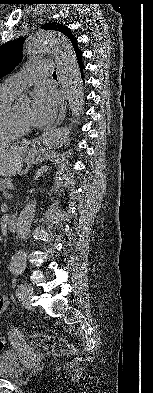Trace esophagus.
I'll list each match as a JSON object with an SVG mask.
<instances>
[{
    "label": "esophagus",
    "mask_w": 153,
    "mask_h": 393,
    "mask_svg": "<svg viewBox=\"0 0 153 393\" xmlns=\"http://www.w3.org/2000/svg\"><path fill=\"white\" fill-rule=\"evenodd\" d=\"M66 105H67V102L65 99H63L62 103L60 105L59 116H58L57 121L55 122L54 126H57L58 124L62 123V121L64 120L65 115H66ZM37 143H38L37 140L33 141V147H35V145H37Z\"/></svg>",
    "instance_id": "obj_1"
}]
</instances>
